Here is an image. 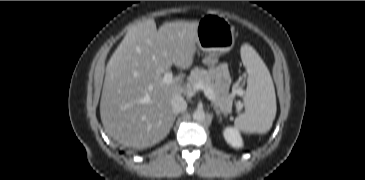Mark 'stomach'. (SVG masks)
<instances>
[{
  "label": "stomach",
  "mask_w": 365,
  "mask_h": 180,
  "mask_svg": "<svg viewBox=\"0 0 365 180\" xmlns=\"http://www.w3.org/2000/svg\"><path fill=\"white\" fill-rule=\"evenodd\" d=\"M234 43V27L227 19L216 15H205L198 21L194 52L201 50L224 54L233 48Z\"/></svg>",
  "instance_id": "1"
}]
</instances>
